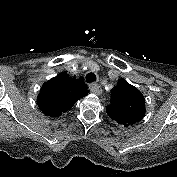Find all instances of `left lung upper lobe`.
<instances>
[{"mask_svg":"<svg viewBox=\"0 0 177 177\" xmlns=\"http://www.w3.org/2000/svg\"><path fill=\"white\" fill-rule=\"evenodd\" d=\"M112 95V102L106 107V112L118 125L131 128L143 119L145 99L137 88L122 78Z\"/></svg>","mask_w":177,"mask_h":177,"instance_id":"obj_1","label":"left lung upper lobe"}]
</instances>
